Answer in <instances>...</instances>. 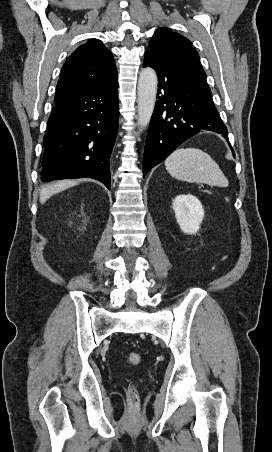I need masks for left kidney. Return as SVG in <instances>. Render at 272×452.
<instances>
[{"instance_id":"5707ae66","label":"left kidney","mask_w":272,"mask_h":452,"mask_svg":"<svg viewBox=\"0 0 272 452\" xmlns=\"http://www.w3.org/2000/svg\"><path fill=\"white\" fill-rule=\"evenodd\" d=\"M180 229L186 234H196L204 218V209L197 197L178 195L172 203Z\"/></svg>"}]
</instances>
